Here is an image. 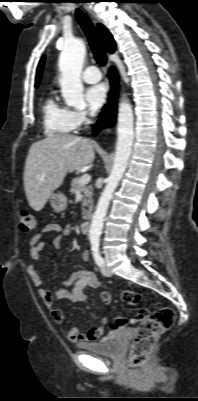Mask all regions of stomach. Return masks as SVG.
<instances>
[{
    "instance_id": "obj_1",
    "label": "stomach",
    "mask_w": 198,
    "mask_h": 401,
    "mask_svg": "<svg viewBox=\"0 0 198 401\" xmlns=\"http://www.w3.org/2000/svg\"><path fill=\"white\" fill-rule=\"evenodd\" d=\"M50 205L56 212H62L67 207V198L61 193H54L50 196Z\"/></svg>"
}]
</instances>
